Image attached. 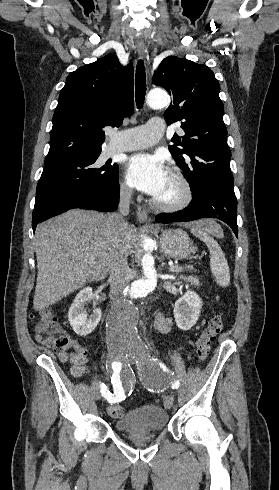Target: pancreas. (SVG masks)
I'll list each match as a JSON object with an SVG mask.
<instances>
[{"instance_id": "1", "label": "pancreas", "mask_w": 279, "mask_h": 490, "mask_svg": "<svg viewBox=\"0 0 279 490\" xmlns=\"http://www.w3.org/2000/svg\"><path fill=\"white\" fill-rule=\"evenodd\" d=\"M181 272H184L183 268ZM176 274H178V272H176ZM182 278L183 280H186V282H191L192 286H199V280H197V278H192V276H190V278H184V276H182Z\"/></svg>"}]
</instances>
